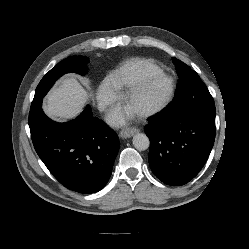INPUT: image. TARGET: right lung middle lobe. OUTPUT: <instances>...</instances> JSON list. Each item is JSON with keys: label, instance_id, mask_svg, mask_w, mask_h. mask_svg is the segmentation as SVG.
Wrapping results in <instances>:
<instances>
[{"label": "right lung middle lobe", "instance_id": "right-lung-middle-lobe-1", "mask_svg": "<svg viewBox=\"0 0 249 249\" xmlns=\"http://www.w3.org/2000/svg\"><path fill=\"white\" fill-rule=\"evenodd\" d=\"M89 59L85 56H71L51 69L40 81L36 88L35 96L30 108L29 119L33 118L41 107L43 97L52 87L54 82L65 73L75 72L80 75L86 73Z\"/></svg>", "mask_w": 249, "mask_h": 249}]
</instances>
